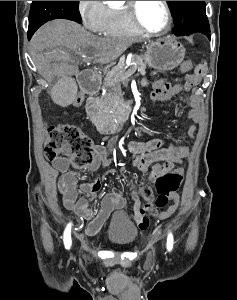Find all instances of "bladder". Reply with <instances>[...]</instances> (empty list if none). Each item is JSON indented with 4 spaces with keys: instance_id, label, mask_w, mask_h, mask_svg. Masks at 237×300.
<instances>
[{
    "instance_id": "obj_1",
    "label": "bladder",
    "mask_w": 237,
    "mask_h": 300,
    "mask_svg": "<svg viewBox=\"0 0 237 300\" xmlns=\"http://www.w3.org/2000/svg\"><path fill=\"white\" fill-rule=\"evenodd\" d=\"M138 236V228L126 214L117 215L107 230L108 240L119 246L132 244Z\"/></svg>"
}]
</instances>
